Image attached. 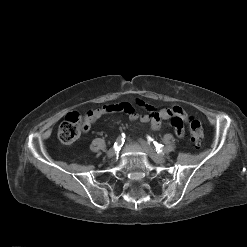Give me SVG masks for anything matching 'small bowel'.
Listing matches in <instances>:
<instances>
[{"label":"small bowel","mask_w":247,"mask_h":247,"mask_svg":"<svg viewBox=\"0 0 247 247\" xmlns=\"http://www.w3.org/2000/svg\"><path fill=\"white\" fill-rule=\"evenodd\" d=\"M136 104L152 111L151 106L142 100H137ZM122 112L128 115L131 120H139L142 123H150L154 129H159L163 120H171L175 132L179 137H184V122L187 119L185 111L178 106L162 109L159 112L150 114H139L134 105L129 102H119L108 104L101 108L89 111L84 117V130L88 131L90 126L105 115Z\"/></svg>","instance_id":"1"}]
</instances>
